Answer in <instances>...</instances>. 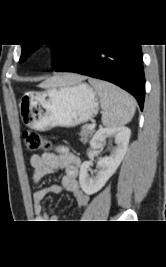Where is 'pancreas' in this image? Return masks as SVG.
Here are the masks:
<instances>
[{"instance_id":"obj_1","label":"pancreas","mask_w":166,"mask_h":267,"mask_svg":"<svg viewBox=\"0 0 166 267\" xmlns=\"http://www.w3.org/2000/svg\"><path fill=\"white\" fill-rule=\"evenodd\" d=\"M93 133L94 129H90L88 125L82 126L80 131L81 142L86 143L88 141V138L91 137Z\"/></svg>"}]
</instances>
